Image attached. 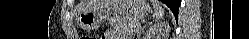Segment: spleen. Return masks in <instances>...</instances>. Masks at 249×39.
<instances>
[{
    "label": "spleen",
    "mask_w": 249,
    "mask_h": 39,
    "mask_svg": "<svg viewBox=\"0 0 249 39\" xmlns=\"http://www.w3.org/2000/svg\"><path fill=\"white\" fill-rule=\"evenodd\" d=\"M152 5L155 9L154 17L157 19H160L164 15V8L161 6V2L157 0H152Z\"/></svg>",
    "instance_id": "3e777b00"
}]
</instances>
